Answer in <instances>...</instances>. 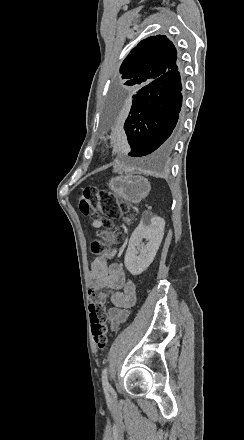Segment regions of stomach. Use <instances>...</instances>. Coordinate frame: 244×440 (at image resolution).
<instances>
[{"label":"stomach","mask_w":244,"mask_h":440,"mask_svg":"<svg viewBox=\"0 0 244 440\" xmlns=\"http://www.w3.org/2000/svg\"><path fill=\"white\" fill-rule=\"evenodd\" d=\"M108 186L121 202H131V204H139L143 198L148 196L151 190L147 178L134 176V174L111 178Z\"/></svg>","instance_id":"stomach-1"}]
</instances>
